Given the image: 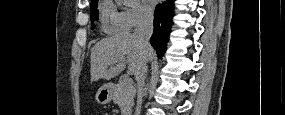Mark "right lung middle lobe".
I'll return each mask as SVG.
<instances>
[{"mask_svg": "<svg viewBox=\"0 0 285 115\" xmlns=\"http://www.w3.org/2000/svg\"><path fill=\"white\" fill-rule=\"evenodd\" d=\"M97 4H98V0L91 2V6H90L91 21L98 20L99 18L98 11H97ZM94 27H95L94 22H92V29H94Z\"/></svg>", "mask_w": 285, "mask_h": 115, "instance_id": "dd1d6c3e", "label": "right lung middle lobe"}]
</instances>
